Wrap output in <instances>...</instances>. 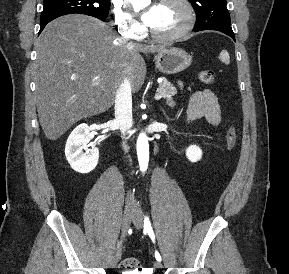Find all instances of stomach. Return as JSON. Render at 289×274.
I'll use <instances>...</instances> for the list:
<instances>
[{"label": "stomach", "mask_w": 289, "mask_h": 274, "mask_svg": "<svg viewBox=\"0 0 289 274\" xmlns=\"http://www.w3.org/2000/svg\"><path fill=\"white\" fill-rule=\"evenodd\" d=\"M154 60L156 68L164 74L179 73L191 64L190 55L176 47L162 49Z\"/></svg>", "instance_id": "0dacf381"}]
</instances>
